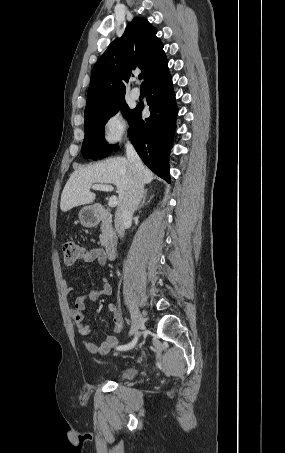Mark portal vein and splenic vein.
<instances>
[{"instance_id":"18ae733b","label":"portal vein and splenic vein","mask_w":285,"mask_h":453,"mask_svg":"<svg viewBox=\"0 0 285 453\" xmlns=\"http://www.w3.org/2000/svg\"><path fill=\"white\" fill-rule=\"evenodd\" d=\"M92 189L94 190H101V191H113L114 188L111 185L108 184H94L92 186ZM118 204V199L115 195L111 196L108 201V205L110 207H115Z\"/></svg>"}]
</instances>
